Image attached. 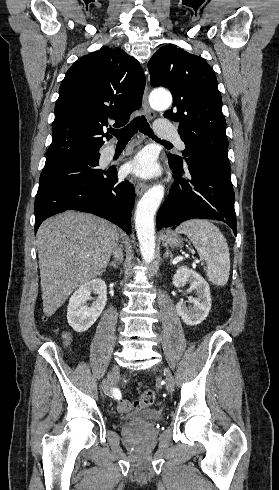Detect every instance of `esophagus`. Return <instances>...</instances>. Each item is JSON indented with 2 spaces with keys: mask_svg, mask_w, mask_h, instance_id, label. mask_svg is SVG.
I'll list each match as a JSON object with an SVG mask.
<instances>
[{
  "mask_svg": "<svg viewBox=\"0 0 279 490\" xmlns=\"http://www.w3.org/2000/svg\"><path fill=\"white\" fill-rule=\"evenodd\" d=\"M148 93H149V88L148 84L146 83L143 98H142V105L143 108L146 112L147 117L152 120L155 118L156 114L155 112L150 108L148 104ZM148 186L145 183L139 182L136 186V194L137 196L143 195V193L147 190Z\"/></svg>",
  "mask_w": 279,
  "mask_h": 490,
  "instance_id": "obj_1",
  "label": "esophagus"
}]
</instances>
